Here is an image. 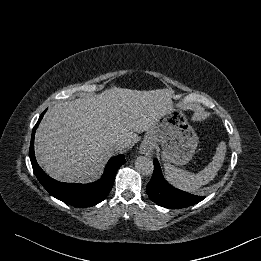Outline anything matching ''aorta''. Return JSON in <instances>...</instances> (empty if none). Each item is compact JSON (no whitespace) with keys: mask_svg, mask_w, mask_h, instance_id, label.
Masks as SVG:
<instances>
[{"mask_svg":"<svg viewBox=\"0 0 261 261\" xmlns=\"http://www.w3.org/2000/svg\"><path fill=\"white\" fill-rule=\"evenodd\" d=\"M135 167L137 171L144 176L152 175L154 170L153 162L148 156L137 157L135 160Z\"/></svg>","mask_w":261,"mask_h":261,"instance_id":"obj_1","label":"aorta"}]
</instances>
